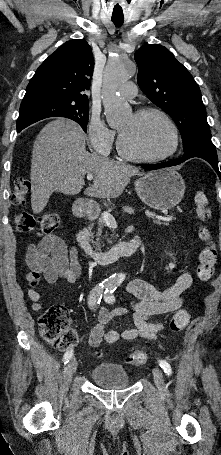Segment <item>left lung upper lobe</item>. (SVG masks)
Returning a JSON list of instances; mask_svg holds the SVG:
<instances>
[{
  "label": "left lung upper lobe",
  "instance_id": "left-lung-upper-lobe-1",
  "mask_svg": "<svg viewBox=\"0 0 221 455\" xmlns=\"http://www.w3.org/2000/svg\"><path fill=\"white\" fill-rule=\"evenodd\" d=\"M134 58L139 87L175 121L184 152L195 145L214 146L201 91L185 66L159 44L142 46Z\"/></svg>",
  "mask_w": 221,
  "mask_h": 455
}]
</instances>
